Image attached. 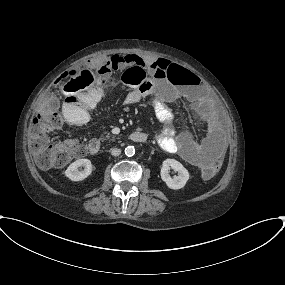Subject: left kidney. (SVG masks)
Masks as SVG:
<instances>
[{
	"mask_svg": "<svg viewBox=\"0 0 285 285\" xmlns=\"http://www.w3.org/2000/svg\"><path fill=\"white\" fill-rule=\"evenodd\" d=\"M170 168L178 172L177 177L171 178L169 174ZM161 178L169 188L177 190L185 186L189 179V173L179 161L175 159H166L162 164Z\"/></svg>",
	"mask_w": 285,
	"mask_h": 285,
	"instance_id": "obj_1",
	"label": "left kidney"
}]
</instances>
